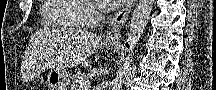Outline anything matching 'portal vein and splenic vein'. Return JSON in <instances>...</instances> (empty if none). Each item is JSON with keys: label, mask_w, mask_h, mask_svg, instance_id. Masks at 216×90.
Returning a JSON list of instances; mask_svg holds the SVG:
<instances>
[{"label": "portal vein and splenic vein", "mask_w": 216, "mask_h": 90, "mask_svg": "<svg viewBox=\"0 0 216 90\" xmlns=\"http://www.w3.org/2000/svg\"><path fill=\"white\" fill-rule=\"evenodd\" d=\"M88 88H89L88 82H83V84H82L80 90H88Z\"/></svg>", "instance_id": "portal-vein-and-splenic-vein-1"}]
</instances>
